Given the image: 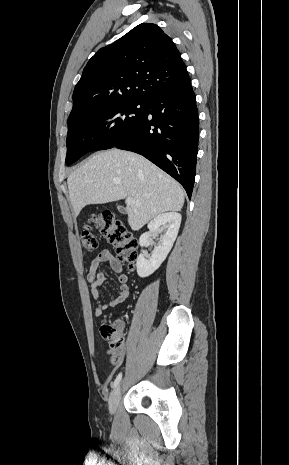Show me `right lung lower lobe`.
I'll return each mask as SVG.
<instances>
[{"label":"right lung lower lobe","instance_id":"right-lung-lower-lobe-1","mask_svg":"<svg viewBox=\"0 0 289 465\" xmlns=\"http://www.w3.org/2000/svg\"><path fill=\"white\" fill-rule=\"evenodd\" d=\"M199 118L191 82L146 101L142 121L113 147L143 155L175 178L191 198L198 152Z\"/></svg>","mask_w":289,"mask_h":465}]
</instances>
